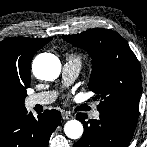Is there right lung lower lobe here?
Here are the masks:
<instances>
[{
  "mask_svg": "<svg viewBox=\"0 0 147 147\" xmlns=\"http://www.w3.org/2000/svg\"><path fill=\"white\" fill-rule=\"evenodd\" d=\"M60 121L58 110H46L37 118L26 108L19 110L0 120V147H48Z\"/></svg>",
  "mask_w": 147,
  "mask_h": 147,
  "instance_id": "obj_1",
  "label": "right lung lower lobe"
}]
</instances>
